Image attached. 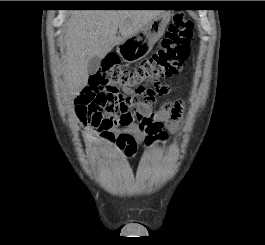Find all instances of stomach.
I'll return each mask as SVG.
<instances>
[{
  "instance_id": "obj_1",
  "label": "stomach",
  "mask_w": 265,
  "mask_h": 245,
  "mask_svg": "<svg viewBox=\"0 0 265 245\" xmlns=\"http://www.w3.org/2000/svg\"><path fill=\"white\" fill-rule=\"evenodd\" d=\"M170 18V12L161 11L138 33L118 44L116 50L123 61L133 63L146 57L154 44L163 36Z\"/></svg>"
}]
</instances>
